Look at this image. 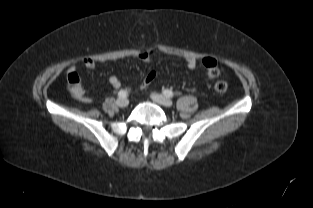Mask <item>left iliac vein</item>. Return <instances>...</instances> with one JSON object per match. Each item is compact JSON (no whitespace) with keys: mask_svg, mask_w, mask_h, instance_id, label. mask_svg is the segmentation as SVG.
<instances>
[{"mask_svg":"<svg viewBox=\"0 0 313 208\" xmlns=\"http://www.w3.org/2000/svg\"><path fill=\"white\" fill-rule=\"evenodd\" d=\"M151 98L156 103L163 105L165 107H171L173 104L172 101L168 97L161 95V94L153 93L151 94Z\"/></svg>","mask_w":313,"mask_h":208,"instance_id":"obj_1","label":"left iliac vein"}]
</instances>
